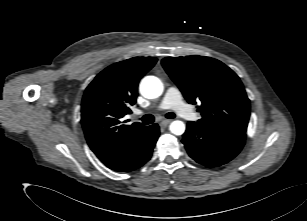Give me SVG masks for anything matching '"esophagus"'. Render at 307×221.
Returning <instances> with one entry per match:
<instances>
[{
	"label": "esophagus",
	"instance_id": "obj_1",
	"mask_svg": "<svg viewBox=\"0 0 307 221\" xmlns=\"http://www.w3.org/2000/svg\"><path fill=\"white\" fill-rule=\"evenodd\" d=\"M171 120H163L162 122H160V126L161 127H166L170 124Z\"/></svg>",
	"mask_w": 307,
	"mask_h": 221
}]
</instances>
